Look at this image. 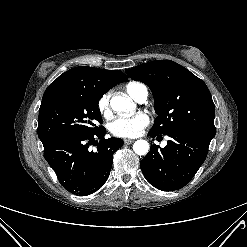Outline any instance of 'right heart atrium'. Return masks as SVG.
Here are the masks:
<instances>
[{"label":"right heart atrium","mask_w":247,"mask_h":247,"mask_svg":"<svg viewBox=\"0 0 247 247\" xmlns=\"http://www.w3.org/2000/svg\"><path fill=\"white\" fill-rule=\"evenodd\" d=\"M97 108L102 116H108L110 114V93H104L97 102Z\"/></svg>","instance_id":"right-heart-atrium-1"}]
</instances>
